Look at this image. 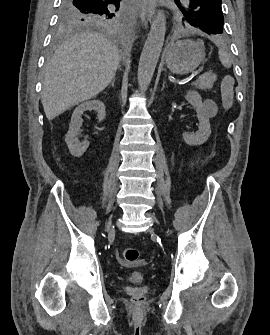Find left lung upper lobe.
<instances>
[{"label":"left lung upper lobe","mask_w":270,"mask_h":335,"mask_svg":"<svg viewBox=\"0 0 270 335\" xmlns=\"http://www.w3.org/2000/svg\"><path fill=\"white\" fill-rule=\"evenodd\" d=\"M183 13L182 21L208 34L223 33L221 0H187L184 7L175 0Z\"/></svg>","instance_id":"1"}]
</instances>
